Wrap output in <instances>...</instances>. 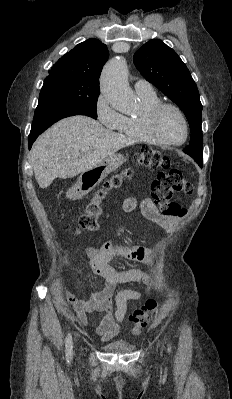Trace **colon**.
<instances>
[{
  "instance_id": "colon-1",
  "label": "colon",
  "mask_w": 232,
  "mask_h": 399,
  "mask_svg": "<svg viewBox=\"0 0 232 399\" xmlns=\"http://www.w3.org/2000/svg\"><path fill=\"white\" fill-rule=\"evenodd\" d=\"M160 168V172H165L167 164L163 160V155L155 148L149 145H144L139 152L133 157V160L122 171H118L109 180L104 181L103 186H99L88 198L82 209V215L76 219V224L83 230L89 232H96L98 222L96 218L99 214L101 201L105 197H109L114 190L120 185H125L126 180L133 178L143 167ZM171 175H154L155 185L151 186L153 194H160V196H185L191 194V187L188 186V181L183 180V175H179V170H171ZM155 203H162L161 212L165 214L166 218H181L185 210L182 209V203H169V198H155ZM71 236H80V231H71ZM149 301H160V296H149ZM160 315L158 307L153 306V303H148V310L138 311L132 315L133 326L132 334L136 338H141L145 334V330L150 326L156 318ZM140 316V317H139Z\"/></svg>"
}]
</instances>
